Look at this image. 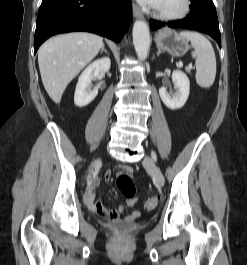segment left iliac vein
Wrapping results in <instances>:
<instances>
[{
    "instance_id": "1",
    "label": "left iliac vein",
    "mask_w": 247,
    "mask_h": 265,
    "mask_svg": "<svg viewBox=\"0 0 247 265\" xmlns=\"http://www.w3.org/2000/svg\"><path fill=\"white\" fill-rule=\"evenodd\" d=\"M143 165L153 174L156 184L162 187L165 179L160 168L154 163V161L149 156H145L143 159Z\"/></svg>"
}]
</instances>
